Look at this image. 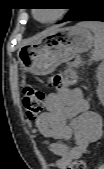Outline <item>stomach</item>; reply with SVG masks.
<instances>
[{
	"label": "stomach",
	"mask_w": 104,
	"mask_h": 169,
	"mask_svg": "<svg viewBox=\"0 0 104 169\" xmlns=\"http://www.w3.org/2000/svg\"><path fill=\"white\" fill-rule=\"evenodd\" d=\"M93 41L92 33L82 25L55 28L22 47L18 58L24 72L45 75L77 54L88 51Z\"/></svg>",
	"instance_id": "0dacf381"
}]
</instances>
